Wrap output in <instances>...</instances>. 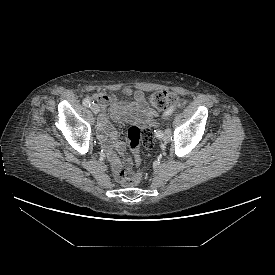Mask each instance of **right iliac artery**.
<instances>
[{"mask_svg":"<svg viewBox=\"0 0 275 275\" xmlns=\"http://www.w3.org/2000/svg\"><path fill=\"white\" fill-rule=\"evenodd\" d=\"M92 103H93V102H92ZM83 105L86 106V107L90 106V105H91L90 99L85 98V99L83 100Z\"/></svg>","mask_w":275,"mask_h":275,"instance_id":"right-iliac-artery-1","label":"right iliac artery"}]
</instances>
